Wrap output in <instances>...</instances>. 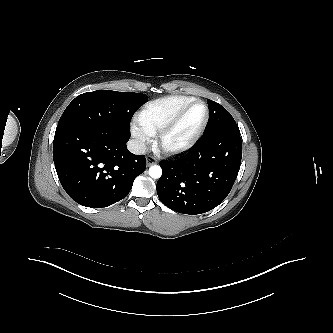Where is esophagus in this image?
<instances>
[{"label":"esophagus","instance_id":"obj_1","mask_svg":"<svg viewBox=\"0 0 333 333\" xmlns=\"http://www.w3.org/2000/svg\"><path fill=\"white\" fill-rule=\"evenodd\" d=\"M156 163V161H155V159L152 157V156H149V157H147V159H146V165L149 167V166H152L153 164H155Z\"/></svg>","mask_w":333,"mask_h":333}]
</instances>
